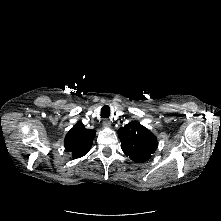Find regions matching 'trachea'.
Wrapping results in <instances>:
<instances>
[{
	"label": "trachea",
	"mask_w": 221,
	"mask_h": 221,
	"mask_svg": "<svg viewBox=\"0 0 221 221\" xmlns=\"http://www.w3.org/2000/svg\"><path fill=\"white\" fill-rule=\"evenodd\" d=\"M109 116H110V107L108 105H104L101 108V117L109 118Z\"/></svg>",
	"instance_id": "trachea-1"
}]
</instances>
